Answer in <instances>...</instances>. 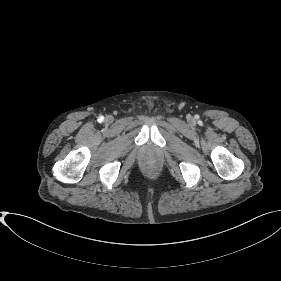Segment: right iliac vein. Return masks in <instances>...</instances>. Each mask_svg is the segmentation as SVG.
I'll use <instances>...</instances> for the list:
<instances>
[{"instance_id":"1","label":"right iliac vein","mask_w":281,"mask_h":281,"mask_svg":"<svg viewBox=\"0 0 281 281\" xmlns=\"http://www.w3.org/2000/svg\"><path fill=\"white\" fill-rule=\"evenodd\" d=\"M106 121H107V122H112V117H111V116H107V117H106Z\"/></svg>"}]
</instances>
